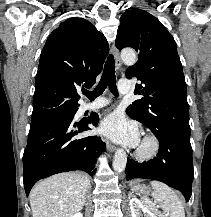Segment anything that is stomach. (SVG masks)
I'll return each instance as SVG.
<instances>
[{
    "mask_svg": "<svg viewBox=\"0 0 211 217\" xmlns=\"http://www.w3.org/2000/svg\"><path fill=\"white\" fill-rule=\"evenodd\" d=\"M133 190L143 194L149 193L150 189L145 185H136L133 187Z\"/></svg>",
    "mask_w": 211,
    "mask_h": 217,
    "instance_id": "1",
    "label": "stomach"
}]
</instances>
